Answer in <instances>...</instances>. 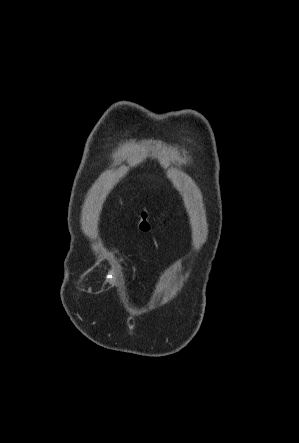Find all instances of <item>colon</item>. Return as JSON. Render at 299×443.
Returning <instances> with one entry per match:
<instances>
[{"mask_svg": "<svg viewBox=\"0 0 299 443\" xmlns=\"http://www.w3.org/2000/svg\"><path fill=\"white\" fill-rule=\"evenodd\" d=\"M138 227L142 231H149L151 229V223L146 212H142L139 215Z\"/></svg>", "mask_w": 299, "mask_h": 443, "instance_id": "colon-1", "label": "colon"}]
</instances>
